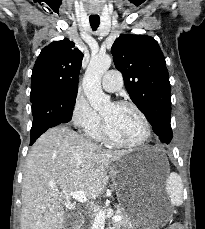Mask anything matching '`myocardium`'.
<instances>
[{
  "label": "myocardium",
  "mask_w": 205,
  "mask_h": 229,
  "mask_svg": "<svg viewBox=\"0 0 205 229\" xmlns=\"http://www.w3.org/2000/svg\"><path fill=\"white\" fill-rule=\"evenodd\" d=\"M113 104L132 108L142 121L144 127V133L140 139L134 142L119 141L111 135L110 130L108 128L107 121L105 117L102 115L101 132L104 140L110 145L121 147V148H136L145 144L151 136V125L145 113L135 103L128 100L116 101Z\"/></svg>",
  "instance_id": "f54148a6"
}]
</instances>
